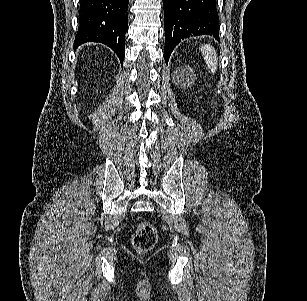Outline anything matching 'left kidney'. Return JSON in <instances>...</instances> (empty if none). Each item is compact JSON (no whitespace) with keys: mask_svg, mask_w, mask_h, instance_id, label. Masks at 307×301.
I'll use <instances>...</instances> for the list:
<instances>
[{"mask_svg":"<svg viewBox=\"0 0 307 301\" xmlns=\"http://www.w3.org/2000/svg\"><path fill=\"white\" fill-rule=\"evenodd\" d=\"M176 74L178 78H180V82H182V80H185L186 84H191V82H194L195 80L194 70L193 68H191V66H178Z\"/></svg>","mask_w":307,"mask_h":301,"instance_id":"left-kidney-1","label":"left kidney"}]
</instances>
